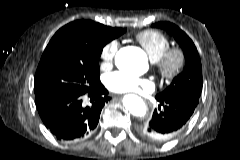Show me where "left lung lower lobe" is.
Listing matches in <instances>:
<instances>
[{
	"label": "left lung lower lobe",
	"instance_id": "0a47b994",
	"mask_svg": "<svg viewBox=\"0 0 240 160\" xmlns=\"http://www.w3.org/2000/svg\"><path fill=\"white\" fill-rule=\"evenodd\" d=\"M160 103L148 123H141L137 131L146 140L160 143L177 135L193 114L197 104L177 98H157ZM161 106L163 109L161 110Z\"/></svg>",
	"mask_w": 240,
	"mask_h": 160
}]
</instances>
